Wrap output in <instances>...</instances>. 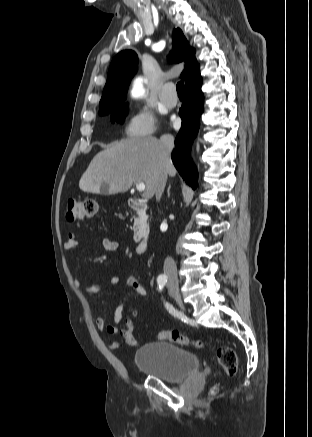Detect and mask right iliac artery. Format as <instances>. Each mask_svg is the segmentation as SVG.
<instances>
[{
  "label": "right iliac artery",
  "instance_id": "1",
  "mask_svg": "<svg viewBox=\"0 0 312 437\" xmlns=\"http://www.w3.org/2000/svg\"><path fill=\"white\" fill-rule=\"evenodd\" d=\"M167 282V276L166 275H159L157 278V284H158V288L159 291H162L164 289V286ZM166 308L169 310L170 313L175 314V309L173 308V306L171 304H169L168 302H166Z\"/></svg>",
  "mask_w": 312,
  "mask_h": 437
}]
</instances>
